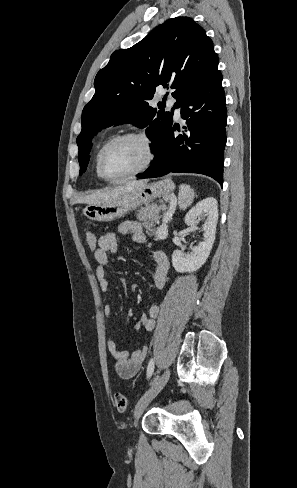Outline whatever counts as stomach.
I'll return each instance as SVG.
<instances>
[{"label":"stomach","instance_id":"stomach-1","mask_svg":"<svg viewBox=\"0 0 297 488\" xmlns=\"http://www.w3.org/2000/svg\"><path fill=\"white\" fill-rule=\"evenodd\" d=\"M174 187L170 178L155 181L133 191L125 192L111 202L88 204L83 208V214L90 220L109 222L123 217L142 204L167 198L173 192Z\"/></svg>","mask_w":297,"mask_h":488}]
</instances>
